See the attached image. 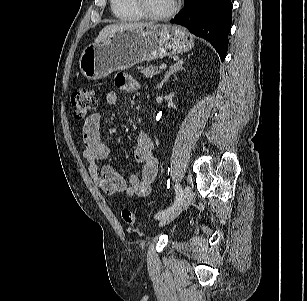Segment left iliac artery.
Segmentation results:
<instances>
[{
    "label": "left iliac artery",
    "mask_w": 307,
    "mask_h": 301,
    "mask_svg": "<svg viewBox=\"0 0 307 301\" xmlns=\"http://www.w3.org/2000/svg\"><path fill=\"white\" fill-rule=\"evenodd\" d=\"M175 191H176V199L174 203L167 209L158 212L155 215V219H162L163 217H165L168 213L172 212L177 207L178 203L180 202L182 198V187L180 184L177 183L175 185Z\"/></svg>",
    "instance_id": "obj_1"
}]
</instances>
